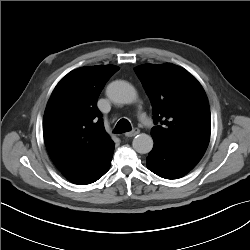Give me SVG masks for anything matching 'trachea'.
<instances>
[{"instance_id": "obj_1", "label": "trachea", "mask_w": 250, "mask_h": 250, "mask_svg": "<svg viewBox=\"0 0 250 250\" xmlns=\"http://www.w3.org/2000/svg\"><path fill=\"white\" fill-rule=\"evenodd\" d=\"M131 131V124L126 119H121L118 121V123L115 126L114 133L121 134Z\"/></svg>"}]
</instances>
